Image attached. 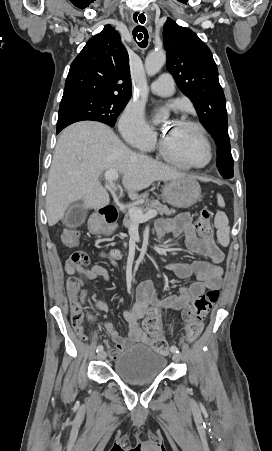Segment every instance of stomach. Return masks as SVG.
I'll list each match as a JSON object with an SVG mask.
<instances>
[{
  "label": "stomach",
  "mask_w": 272,
  "mask_h": 451,
  "mask_svg": "<svg viewBox=\"0 0 272 451\" xmlns=\"http://www.w3.org/2000/svg\"><path fill=\"white\" fill-rule=\"evenodd\" d=\"M200 196L201 188L195 178L184 176L165 184L161 200L175 208H190L197 204Z\"/></svg>",
  "instance_id": "obj_1"
}]
</instances>
